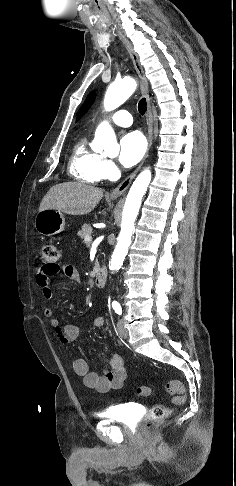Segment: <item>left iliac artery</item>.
<instances>
[{
	"mask_svg": "<svg viewBox=\"0 0 236 486\" xmlns=\"http://www.w3.org/2000/svg\"><path fill=\"white\" fill-rule=\"evenodd\" d=\"M112 307L113 309L115 310V313L118 314V315H121L122 314V308L120 306V304L118 302H113L112 303Z\"/></svg>",
	"mask_w": 236,
	"mask_h": 486,
	"instance_id": "1",
	"label": "left iliac artery"
}]
</instances>
